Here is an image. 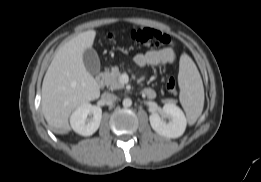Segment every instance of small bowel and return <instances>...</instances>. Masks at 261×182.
<instances>
[{
	"mask_svg": "<svg viewBox=\"0 0 261 182\" xmlns=\"http://www.w3.org/2000/svg\"><path fill=\"white\" fill-rule=\"evenodd\" d=\"M176 59L177 55L173 45H169L159 50H150L144 53H138L134 57L135 63L140 67L172 64L176 61ZM149 97H154V91L153 95Z\"/></svg>",
	"mask_w": 261,
	"mask_h": 182,
	"instance_id": "c3829d8e",
	"label": "small bowel"
}]
</instances>
